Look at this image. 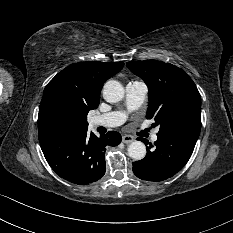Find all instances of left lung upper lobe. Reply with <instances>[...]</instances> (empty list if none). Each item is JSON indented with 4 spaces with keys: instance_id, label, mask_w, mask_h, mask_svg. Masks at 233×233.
<instances>
[{
    "instance_id": "obj_1",
    "label": "left lung upper lobe",
    "mask_w": 233,
    "mask_h": 233,
    "mask_svg": "<svg viewBox=\"0 0 233 233\" xmlns=\"http://www.w3.org/2000/svg\"><path fill=\"white\" fill-rule=\"evenodd\" d=\"M127 67L148 86L146 117L159 126L158 135L183 129H201V98L188 74L161 61L128 62Z\"/></svg>"
}]
</instances>
